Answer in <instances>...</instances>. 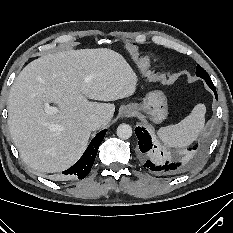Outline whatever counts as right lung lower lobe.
Instances as JSON below:
<instances>
[{"instance_id": "98d812e1", "label": "right lung lower lobe", "mask_w": 233, "mask_h": 233, "mask_svg": "<svg viewBox=\"0 0 233 233\" xmlns=\"http://www.w3.org/2000/svg\"><path fill=\"white\" fill-rule=\"evenodd\" d=\"M106 131V129L100 131L90 142L82 157L72 167L63 172V174H65V178L83 179L88 175Z\"/></svg>"}]
</instances>
